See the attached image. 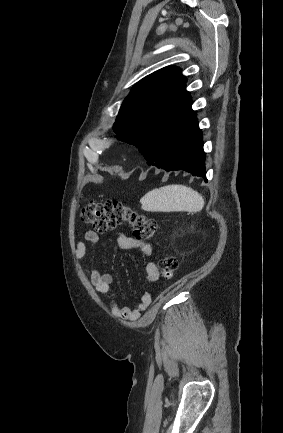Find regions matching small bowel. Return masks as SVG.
Masks as SVG:
<instances>
[{"mask_svg": "<svg viewBox=\"0 0 283 433\" xmlns=\"http://www.w3.org/2000/svg\"><path fill=\"white\" fill-rule=\"evenodd\" d=\"M99 235L93 231L88 230L84 235V240L76 243V257L81 259L85 256L87 246L86 243L94 245L98 243ZM116 244L120 249H133L140 248L146 256L152 255V246L149 243L140 242L128 236L124 232H119L116 235ZM84 271L88 275L91 284L99 294H109L110 308L114 317L120 320L134 321L138 319L141 312L144 311L151 303L152 296L150 293H145L140 298V301L135 309L126 306H119L114 295L110 294L112 277L107 273H103L97 266L85 268ZM146 277L150 282H156L159 279V270L155 263L148 262L145 267Z\"/></svg>", "mask_w": 283, "mask_h": 433, "instance_id": "c3829d8e", "label": "small bowel"}]
</instances>
